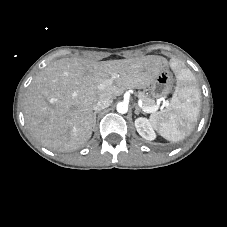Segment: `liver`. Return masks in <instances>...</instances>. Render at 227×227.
<instances>
[{"label": "liver", "instance_id": "6515ba94", "mask_svg": "<svg viewBox=\"0 0 227 227\" xmlns=\"http://www.w3.org/2000/svg\"><path fill=\"white\" fill-rule=\"evenodd\" d=\"M166 68L168 61L154 55L101 62L83 58L56 60L25 91L26 126L50 150L79 149L91 138L93 106L100 97L148 87ZM109 79L112 84L100 89V84Z\"/></svg>", "mask_w": 227, "mask_h": 227}]
</instances>
